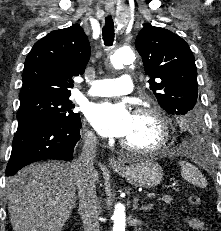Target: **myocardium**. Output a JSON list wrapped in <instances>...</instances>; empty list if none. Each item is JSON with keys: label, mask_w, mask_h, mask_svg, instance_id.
I'll return each mask as SVG.
<instances>
[{"label": "myocardium", "mask_w": 221, "mask_h": 231, "mask_svg": "<svg viewBox=\"0 0 221 231\" xmlns=\"http://www.w3.org/2000/svg\"><path fill=\"white\" fill-rule=\"evenodd\" d=\"M134 114L150 116L156 121L160 129L159 140L155 145L150 147H138L126 142L125 140H121V146L124 149L137 154H156L167 148L171 139V130L170 122L166 114L161 109L152 105L140 106L135 110Z\"/></svg>", "instance_id": "1"}]
</instances>
